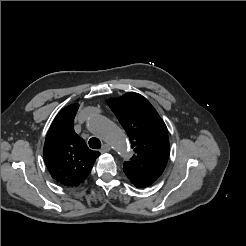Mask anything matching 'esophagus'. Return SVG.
Listing matches in <instances>:
<instances>
[{
    "instance_id": "1",
    "label": "esophagus",
    "mask_w": 246,
    "mask_h": 246,
    "mask_svg": "<svg viewBox=\"0 0 246 246\" xmlns=\"http://www.w3.org/2000/svg\"><path fill=\"white\" fill-rule=\"evenodd\" d=\"M110 150H111L110 145L104 144V145L102 146L100 152H101V153H107V152H109Z\"/></svg>"
}]
</instances>
